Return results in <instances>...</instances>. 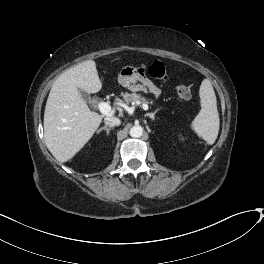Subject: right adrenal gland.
Listing matches in <instances>:
<instances>
[{
    "label": "right adrenal gland",
    "mask_w": 264,
    "mask_h": 264,
    "mask_svg": "<svg viewBox=\"0 0 264 264\" xmlns=\"http://www.w3.org/2000/svg\"><path fill=\"white\" fill-rule=\"evenodd\" d=\"M111 129H112L111 127L104 126V127L100 128L98 130V133H100L101 131L105 130L107 135H109Z\"/></svg>",
    "instance_id": "1"
}]
</instances>
